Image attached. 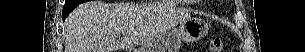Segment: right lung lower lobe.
<instances>
[{
	"mask_svg": "<svg viewBox=\"0 0 305 52\" xmlns=\"http://www.w3.org/2000/svg\"><path fill=\"white\" fill-rule=\"evenodd\" d=\"M74 7H69V6H66L64 5V8H63V20L66 19V17L73 11Z\"/></svg>",
	"mask_w": 305,
	"mask_h": 52,
	"instance_id": "obj_1",
	"label": "right lung lower lobe"
}]
</instances>
